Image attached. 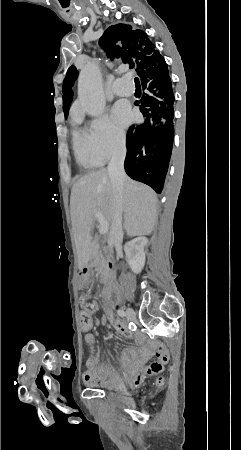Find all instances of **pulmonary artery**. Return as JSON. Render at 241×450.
Returning <instances> with one entry per match:
<instances>
[{
  "label": "pulmonary artery",
  "mask_w": 241,
  "mask_h": 450,
  "mask_svg": "<svg viewBox=\"0 0 241 450\" xmlns=\"http://www.w3.org/2000/svg\"><path fill=\"white\" fill-rule=\"evenodd\" d=\"M113 80L115 81L114 93L117 96H124L125 94L121 92H130L131 87L133 86L132 78H118L117 76H114Z\"/></svg>",
  "instance_id": "e3ab8cb5"
}]
</instances>
